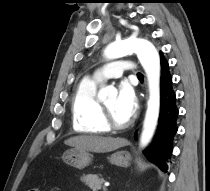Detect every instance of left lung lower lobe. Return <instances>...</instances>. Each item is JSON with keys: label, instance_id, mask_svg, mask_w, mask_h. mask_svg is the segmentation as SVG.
<instances>
[{"label": "left lung lower lobe", "instance_id": "1", "mask_svg": "<svg viewBox=\"0 0 210 191\" xmlns=\"http://www.w3.org/2000/svg\"><path fill=\"white\" fill-rule=\"evenodd\" d=\"M161 59V106L158 131L154 145L145 151L147 159L156 164L162 171L168 170V159L173 149V137L177 132L176 119L178 109L176 106L175 92L172 88V77L169 73L168 62L160 53Z\"/></svg>", "mask_w": 210, "mask_h": 191}]
</instances>
